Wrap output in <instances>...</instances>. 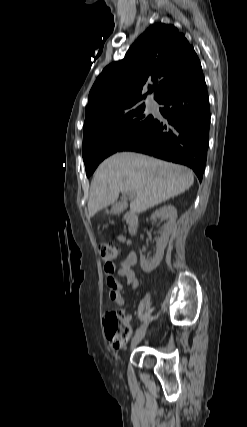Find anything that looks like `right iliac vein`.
I'll list each match as a JSON object with an SVG mask.
<instances>
[{"mask_svg": "<svg viewBox=\"0 0 247 427\" xmlns=\"http://www.w3.org/2000/svg\"><path fill=\"white\" fill-rule=\"evenodd\" d=\"M146 331H147V326L141 332H139L133 337L131 341V346H130L131 349L136 347L141 342V340L144 338L146 334Z\"/></svg>", "mask_w": 247, "mask_h": 427, "instance_id": "right-iliac-vein-1", "label": "right iliac vein"}]
</instances>
